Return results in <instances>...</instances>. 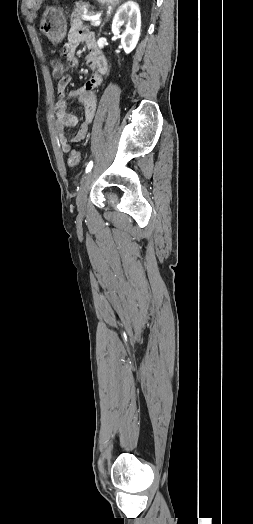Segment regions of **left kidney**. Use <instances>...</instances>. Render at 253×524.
Here are the masks:
<instances>
[{
	"mask_svg": "<svg viewBox=\"0 0 253 524\" xmlns=\"http://www.w3.org/2000/svg\"><path fill=\"white\" fill-rule=\"evenodd\" d=\"M122 26L125 27L122 30ZM141 29V14L137 3L128 1L120 6L112 22V33L121 39L125 53H130L136 47Z\"/></svg>",
	"mask_w": 253,
	"mask_h": 524,
	"instance_id": "1",
	"label": "left kidney"
}]
</instances>
